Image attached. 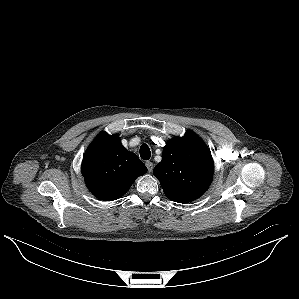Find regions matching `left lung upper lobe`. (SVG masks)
<instances>
[{
    "mask_svg": "<svg viewBox=\"0 0 299 299\" xmlns=\"http://www.w3.org/2000/svg\"><path fill=\"white\" fill-rule=\"evenodd\" d=\"M213 172L209 149L192 131L168 141L153 171L166 196L179 203L199 198L211 184Z\"/></svg>",
    "mask_w": 299,
    "mask_h": 299,
    "instance_id": "1",
    "label": "left lung upper lobe"
}]
</instances>
